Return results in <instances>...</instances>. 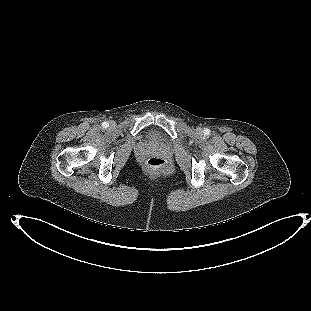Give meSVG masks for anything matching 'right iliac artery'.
Listing matches in <instances>:
<instances>
[{
    "mask_svg": "<svg viewBox=\"0 0 311 311\" xmlns=\"http://www.w3.org/2000/svg\"><path fill=\"white\" fill-rule=\"evenodd\" d=\"M102 126H103V128H107L109 126V123L108 122H103Z\"/></svg>",
    "mask_w": 311,
    "mask_h": 311,
    "instance_id": "1",
    "label": "right iliac artery"
}]
</instances>
